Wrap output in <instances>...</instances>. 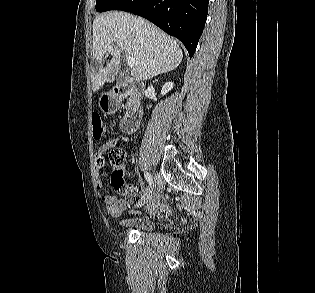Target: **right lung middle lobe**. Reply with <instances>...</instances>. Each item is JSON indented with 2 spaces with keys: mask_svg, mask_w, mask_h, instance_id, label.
Segmentation results:
<instances>
[{
  "mask_svg": "<svg viewBox=\"0 0 315 293\" xmlns=\"http://www.w3.org/2000/svg\"><path fill=\"white\" fill-rule=\"evenodd\" d=\"M120 1L121 0H97L96 10L99 12L111 10Z\"/></svg>",
  "mask_w": 315,
  "mask_h": 293,
  "instance_id": "1",
  "label": "right lung middle lobe"
}]
</instances>
